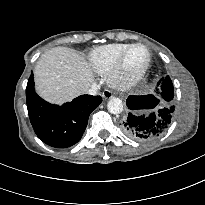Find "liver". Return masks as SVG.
<instances>
[{"label":"liver","mask_w":205,"mask_h":205,"mask_svg":"<svg viewBox=\"0 0 205 205\" xmlns=\"http://www.w3.org/2000/svg\"><path fill=\"white\" fill-rule=\"evenodd\" d=\"M34 76L39 95L56 104L84 94L93 82L92 70L84 56L61 46L46 51L40 57Z\"/></svg>","instance_id":"obj_1"}]
</instances>
